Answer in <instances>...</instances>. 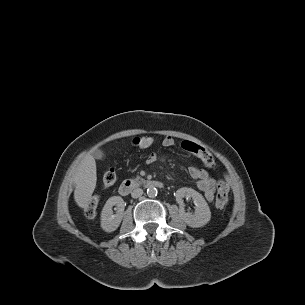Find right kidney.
<instances>
[{"instance_id":"ca27d5eb","label":"right kidney","mask_w":305,"mask_h":305,"mask_svg":"<svg viewBox=\"0 0 305 305\" xmlns=\"http://www.w3.org/2000/svg\"><path fill=\"white\" fill-rule=\"evenodd\" d=\"M113 206L117 207L116 214H113ZM124 208L125 202L120 196L110 197L106 201L101 212V228L105 232H113L119 227L123 218Z\"/></svg>"}]
</instances>
